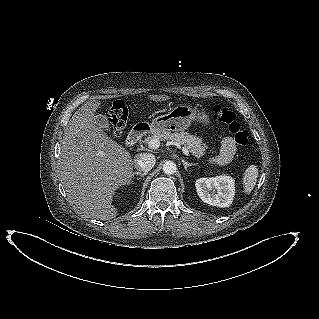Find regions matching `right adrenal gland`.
<instances>
[{
    "instance_id": "obj_1",
    "label": "right adrenal gland",
    "mask_w": 319,
    "mask_h": 319,
    "mask_svg": "<svg viewBox=\"0 0 319 319\" xmlns=\"http://www.w3.org/2000/svg\"><path fill=\"white\" fill-rule=\"evenodd\" d=\"M134 175L144 177L145 175H147V173H146V172H143V173H142V172H140V171H137V172H134V173H133V176H134Z\"/></svg>"
}]
</instances>
